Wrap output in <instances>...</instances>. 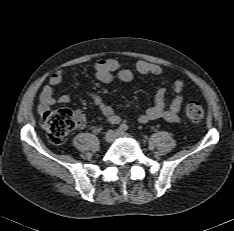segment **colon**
Wrapping results in <instances>:
<instances>
[{"instance_id":"5ec220e1","label":"colon","mask_w":234,"mask_h":231,"mask_svg":"<svg viewBox=\"0 0 234 231\" xmlns=\"http://www.w3.org/2000/svg\"><path fill=\"white\" fill-rule=\"evenodd\" d=\"M187 118L193 123H199L204 118V109L196 100H190L185 107ZM41 125L47 131L49 140L54 144H62L75 127L70 110L62 108L46 111L41 118Z\"/></svg>"}]
</instances>
